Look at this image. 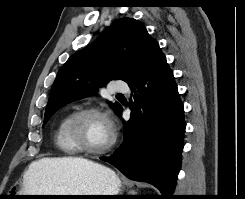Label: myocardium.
Segmentation results:
<instances>
[{
  "mask_svg": "<svg viewBox=\"0 0 245 199\" xmlns=\"http://www.w3.org/2000/svg\"><path fill=\"white\" fill-rule=\"evenodd\" d=\"M90 115L101 116L105 118L107 122L109 123L110 129H111V138L104 147L93 149V148H90L84 145L79 139L75 138L77 134V128H78L79 122L83 118L90 116ZM66 134L69 140L71 141L73 148L76 151L85 153L87 155L105 154L109 152L115 146L116 141H117V133H116V130H115L110 114L107 111L101 108H97V107L84 108V109H80L74 112L68 120L67 127H66Z\"/></svg>",
  "mask_w": 245,
  "mask_h": 199,
  "instance_id": "obj_1",
  "label": "myocardium"
}]
</instances>
